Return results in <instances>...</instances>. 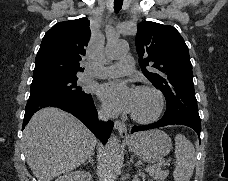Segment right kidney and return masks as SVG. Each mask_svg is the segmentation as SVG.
<instances>
[{
	"label": "right kidney",
	"instance_id": "obj_1",
	"mask_svg": "<svg viewBox=\"0 0 228 181\" xmlns=\"http://www.w3.org/2000/svg\"><path fill=\"white\" fill-rule=\"evenodd\" d=\"M56 181H92V175L85 171H73V173H66L63 177H58Z\"/></svg>",
	"mask_w": 228,
	"mask_h": 181
}]
</instances>
